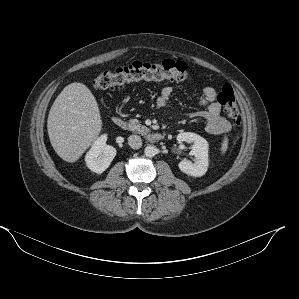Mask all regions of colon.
I'll list each match as a JSON object with an SVG mask.
<instances>
[{
  "label": "colon",
  "instance_id": "obj_1",
  "mask_svg": "<svg viewBox=\"0 0 299 299\" xmlns=\"http://www.w3.org/2000/svg\"><path fill=\"white\" fill-rule=\"evenodd\" d=\"M189 78V69L185 62L166 60L160 64L134 62L114 71H105L97 75L92 80V84L96 89L105 90L141 80L155 82L164 80L186 81ZM216 99L223 105L227 116L237 122L240 112L232 86L223 85Z\"/></svg>",
  "mask_w": 299,
  "mask_h": 299
}]
</instances>
